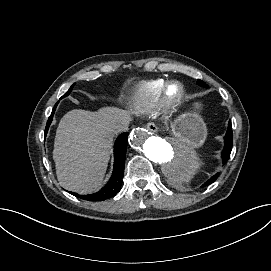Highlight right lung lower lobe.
I'll return each instance as SVG.
<instances>
[{
  "instance_id": "obj_1",
  "label": "right lung lower lobe",
  "mask_w": 271,
  "mask_h": 271,
  "mask_svg": "<svg viewBox=\"0 0 271 271\" xmlns=\"http://www.w3.org/2000/svg\"><path fill=\"white\" fill-rule=\"evenodd\" d=\"M58 102L54 106L51 116L47 121V125L45 128V136L47 134L48 128L51 124L53 119V114L55 112L56 106ZM128 144V133L124 132L115 141L114 144V170L113 174L108 181V183L97 193L89 194V195H79L73 192L71 194L75 195L76 197L88 201H103L109 199L116 195L117 192L121 189L122 179L124 175V165H125V157H126V150Z\"/></svg>"
}]
</instances>
